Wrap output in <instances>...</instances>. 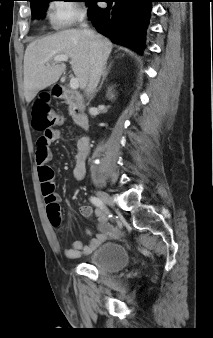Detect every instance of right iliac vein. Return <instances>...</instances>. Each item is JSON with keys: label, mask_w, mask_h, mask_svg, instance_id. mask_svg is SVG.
<instances>
[{"label": "right iliac vein", "mask_w": 213, "mask_h": 338, "mask_svg": "<svg viewBox=\"0 0 213 338\" xmlns=\"http://www.w3.org/2000/svg\"><path fill=\"white\" fill-rule=\"evenodd\" d=\"M95 193H96L97 197L99 199H101L104 203L112 204V199L110 198V196L107 193H105L103 191H99V190H96Z\"/></svg>", "instance_id": "obj_1"}]
</instances>
